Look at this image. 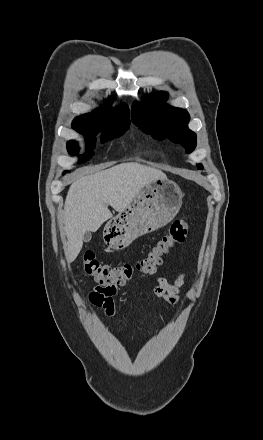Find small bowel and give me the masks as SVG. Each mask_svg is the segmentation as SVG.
Returning a JSON list of instances; mask_svg holds the SVG:
<instances>
[{
	"label": "small bowel",
	"instance_id": "obj_1",
	"mask_svg": "<svg viewBox=\"0 0 263 440\" xmlns=\"http://www.w3.org/2000/svg\"><path fill=\"white\" fill-rule=\"evenodd\" d=\"M183 287V274L179 275L174 283H170L165 277H158L154 294L161 302L176 304L181 299ZM116 292V288L96 286L90 290L88 300L92 305L102 307L106 315L112 317L115 314L114 296Z\"/></svg>",
	"mask_w": 263,
	"mask_h": 440
}]
</instances>
